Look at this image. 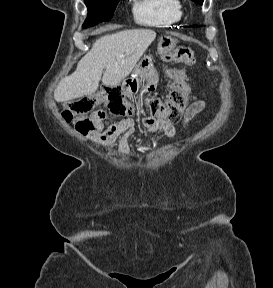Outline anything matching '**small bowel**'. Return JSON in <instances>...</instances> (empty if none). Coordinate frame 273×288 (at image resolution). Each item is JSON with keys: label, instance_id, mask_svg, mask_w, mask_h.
<instances>
[{"label": "small bowel", "instance_id": "c3829d8e", "mask_svg": "<svg viewBox=\"0 0 273 288\" xmlns=\"http://www.w3.org/2000/svg\"><path fill=\"white\" fill-rule=\"evenodd\" d=\"M206 108V104L203 100L194 101L186 109L182 121V125L187 126L191 120ZM144 129L147 132L153 133L159 130L165 132V134L172 138L175 135V128L172 123L159 120L151 116H144L142 118ZM136 129L135 121L132 118L122 119L119 122L106 128L101 121H98L95 129L89 133L92 140L102 144L111 145L119 137H121L120 143L124 149H127L128 139Z\"/></svg>", "mask_w": 273, "mask_h": 288}]
</instances>
